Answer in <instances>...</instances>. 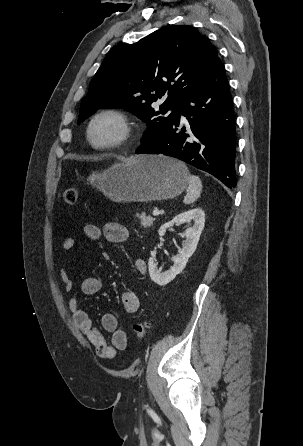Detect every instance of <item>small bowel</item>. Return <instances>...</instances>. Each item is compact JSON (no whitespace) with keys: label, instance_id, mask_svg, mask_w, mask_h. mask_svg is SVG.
<instances>
[{"label":"small bowel","instance_id":"1","mask_svg":"<svg viewBox=\"0 0 303 446\" xmlns=\"http://www.w3.org/2000/svg\"><path fill=\"white\" fill-rule=\"evenodd\" d=\"M128 228L118 222H107L103 228L94 224L84 226L85 237L92 242H97L103 237L110 243L120 244L129 237ZM75 240L72 237H65L61 246L65 252L73 249ZM134 269L138 276L144 277L147 273L146 261L138 258L134 261ZM60 279L66 291H71L73 287L72 279L65 268L60 271ZM102 282L97 276H87L81 282V292L85 295H93L100 291ZM122 305L126 312L135 313L138 311L140 302L135 292L127 290L121 296ZM69 310L73 317L76 327L86 336L89 343L94 347L98 356L105 359H113L117 351L124 350L127 347V334L119 325L116 315L105 313L101 317L102 328L111 334L109 341L104 335L93 326L92 320L84 311L76 297L69 300Z\"/></svg>","mask_w":303,"mask_h":446}]
</instances>
